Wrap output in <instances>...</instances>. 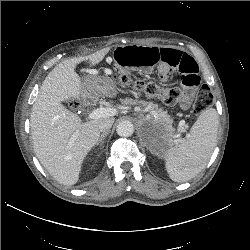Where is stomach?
I'll return each mask as SVG.
<instances>
[{"instance_id": "stomach-1", "label": "stomach", "mask_w": 250, "mask_h": 250, "mask_svg": "<svg viewBox=\"0 0 250 250\" xmlns=\"http://www.w3.org/2000/svg\"><path fill=\"white\" fill-rule=\"evenodd\" d=\"M83 94L85 98L96 99L100 96H115L116 89L108 77H91L84 82Z\"/></svg>"}]
</instances>
